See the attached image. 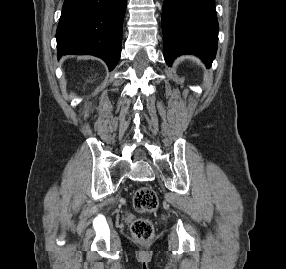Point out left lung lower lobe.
I'll return each mask as SVG.
<instances>
[{
	"mask_svg": "<svg viewBox=\"0 0 286 269\" xmlns=\"http://www.w3.org/2000/svg\"><path fill=\"white\" fill-rule=\"evenodd\" d=\"M162 31L168 65L179 55L193 54L209 67L218 41L215 0H165Z\"/></svg>",
	"mask_w": 286,
	"mask_h": 269,
	"instance_id": "left-lung-lower-lobe-1",
	"label": "left lung lower lobe"
}]
</instances>
